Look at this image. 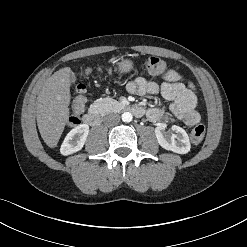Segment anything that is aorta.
Returning <instances> with one entry per match:
<instances>
[{"label":"aorta","mask_w":247,"mask_h":247,"mask_svg":"<svg viewBox=\"0 0 247 247\" xmlns=\"http://www.w3.org/2000/svg\"><path fill=\"white\" fill-rule=\"evenodd\" d=\"M121 118H122V121L123 122H131L132 121V114L130 112H124L122 115H121Z\"/></svg>","instance_id":"1"}]
</instances>
